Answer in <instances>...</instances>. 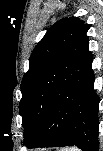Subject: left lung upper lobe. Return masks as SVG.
I'll list each match as a JSON object with an SVG mask.
<instances>
[{
	"instance_id": "1",
	"label": "left lung upper lobe",
	"mask_w": 103,
	"mask_h": 151,
	"mask_svg": "<svg viewBox=\"0 0 103 151\" xmlns=\"http://www.w3.org/2000/svg\"><path fill=\"white\" fill-rule=\"evenodd\" d=\"M88 29L89 25L79 18H63L56 22L36 45L30 57L29 70L24 74L20 85L22 99L19 110L22 116L27 111L31 81L48 63L84 36Z\"/></svg>"
}]
</instances>
